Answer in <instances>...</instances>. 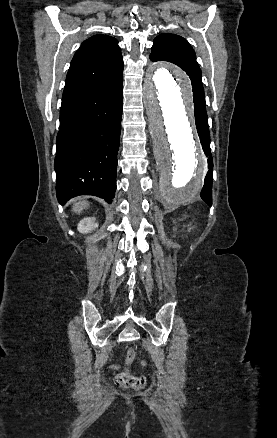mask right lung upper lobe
I'll return each instance as SVG.
<instances>
[{"mask_svg": "<svg viewBox=\"0 0 277 438\" xmlns=\"http://www.w3.org/2000/svg\"><path fill=\"white\" fill-rule=\"evenodd\" d=\"M123 70L118 41L108 35L85 40L76 51L66 77L63 96L117 76Z\"/></svg>", "mask_w": 277, "mask_h": 438, "instance_id": "1", "label": "right lung upper lobe"}]
</instances>
